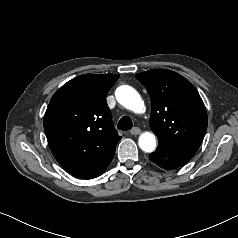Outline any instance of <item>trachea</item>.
<instances>
[{"label":"trachea","mask_w":238,"mask_h":238,"mask_svg":"<svg viewBox=\"0 0 238 238\" xmlns=\"http://www.w3.org/2000/svg\"><path fill=\"white\" fill-rule=\"evenodd\" d=\"M132 126L133 124L131 118L128 116H124L119 120L117 128L119 130L127 131L130 130Z\"/></svg>","instance_id":"trachea-1"}]
</instances>
